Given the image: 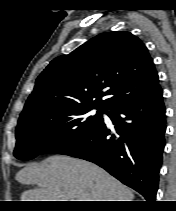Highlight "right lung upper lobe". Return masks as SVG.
<instances>
[{"instance_id":"right-lung-upper-lobe-1","label":"right lung upper lobe","mask_w":176,"mask_h":211,"mask_svg":"<svg viewBox=\"0 0 176 211\" xmlns=\"http://www.w3.org/2000/svg\"><path fill=\"white\" fill-rule=\"evenodd\" d=\"M158 85L153 59L142 41L130 32H107L52 60L37 78L20 118L51 109H113Z\"/></svg>"}]
</instances>
